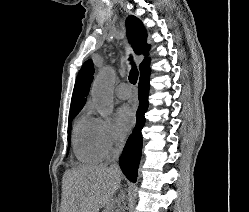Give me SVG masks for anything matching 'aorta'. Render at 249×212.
I'll return each instance as SVG.
<instances>
[{
    "instance_id": "1",
    "label": "aorta",
    "mask_w": 249,
    "mask_h": 212,
    "mask_svg": "<svg viewBox=\"0 0 249 212\" xmlns=\"http://www.w3.org/2000/svg\"><path fill=\"white\" fill-rule=\"evenodd\" d=\"M115 79L114 69L110 66H105L93 82L91 89L92 99L102 117H108L113 111V86Z\"/></svg>"
}]
</instances>
